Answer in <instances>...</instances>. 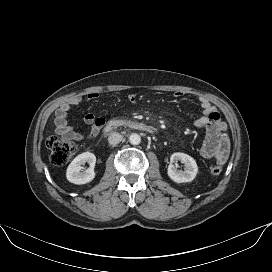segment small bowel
I'll return each mask as SVG.
<instances>
[{
    "mask_svg": "<svg viewBox=\"0 0 272 272\" xmlns=\"http://www.w3.org/2000/svg\"><path fill=\"white\" fill-rule=\"evenodd\" d=\"M180 92L175 93V97H181ZM99 97L96 92L87 95L88 100H95ZM131 101H136L135 94L129 95ZM81 102V97L74 96L61 104L55 113L54 123L58 134L70 141H81L86 138H94L98 135L105 120L100 116L88 113L84 117L85 124L89 126V132L85 136L76 127L69 124L68 114L72 106ZM202 108V115L195 120V126L206 132V137L201 147V156L208 160H214L217 165H223L229 154L230 141L227 134V125L222 121L218 110L204 98L199 100Z\"/></svg>",
    "mask_w": 272,
    "mask_h": 272,
    "instance_id": "obj_1",
    "label": "small bowel"
}]
</instances>
